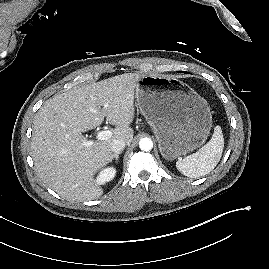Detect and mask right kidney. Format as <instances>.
<instances>
[{"label":"right kidney","mask_w":269,"mask_h":269,"mask_svg":"<svg viewBox=\"0 0 269 269\" xmlns=\"http://www.w3.org/2000/svg\"><path fill=\"white\" fill-rule=\"evenodd\" d=\"M115 174H116V169L113 167H108L106 169H103L100 172L96 182L98 184H104L106 182H109L115 177Z\"/></svg>","instance_id":"ca27d5eb"}]
</instances>
